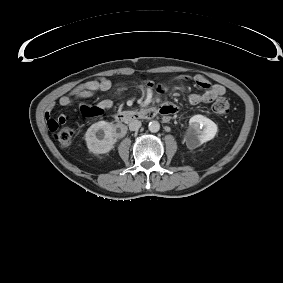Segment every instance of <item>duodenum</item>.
Segmentation results:
<instances>
[{"mask_svg":"<svg viewBox=\"0 0 283 283\" xmlns=\"http://www.w3.org/2000/svg\"><path fill=\"white\" fill-rule=\"evenodd\" d=\"M158 113H162L161 109L147 108L139 111H126L117 113L115 121L120 127H124L126 123L136 120L151 119Z\"/></svg>","mask_w":283,"mask_h":283,"instance_id":"duodenum-1","label":"duodenum"}]
</instances>
